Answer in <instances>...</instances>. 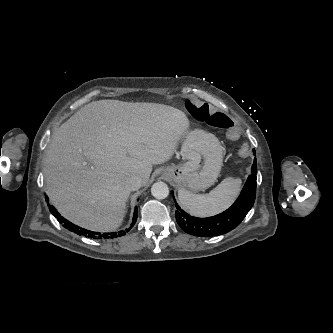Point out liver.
Returning <instances> with one entry per match:
<instances>
[{
	"mask_svg": "<svg viewBox=\"0 0 333 333\" xmlns=\"http://www.w3.org/2000/svg\"><path fill=\"white\" fill-rule=\"evenodd\" d=\"M171 106L118 100L91 102L53 134L44 160L46 193L69 221L110 232L123 222L126 180L148 182L153 164L170 160L189 131Z\"/></svg>",
	"mask_w": 333,
	"mask_h": 333,
	"instance_id": "obj_1",
	"label": "liver"
}]
</instances>
